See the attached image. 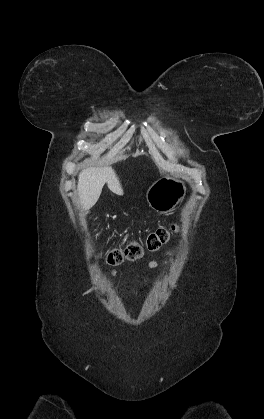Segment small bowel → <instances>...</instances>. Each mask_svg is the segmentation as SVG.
I'll list each match as a JSON object with an SVG mask.
<instances>
[{"label":"small bowel","instance_id":"c3829d8e","mask_svg":"<svg viewBox=\"0 0 264 419\" xmlns=\"http://www.w3.org/2000/svg\"><path fill=\"white\" fill-rule=\"evenodd\" d=\"M149 265H150V267H153V268H154V267L159 266V262L154 260V261H151V262L149 263ZM112 275H113V276H117V275H118V272L114 270V271L112 272Z\"/></svg>","mask_w":264,"mask_h":419}]
</instances>
